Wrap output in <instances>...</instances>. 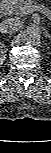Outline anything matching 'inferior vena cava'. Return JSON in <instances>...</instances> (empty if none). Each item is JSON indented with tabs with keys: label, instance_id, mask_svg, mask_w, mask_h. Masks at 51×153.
Wrapping results in <instances>:
<instances>
[{
	"label": "inferior vena cava",
	"instance_id": "602c4592",
	"mask_svg": "<svg viewBox=\"0 0 51 153\" xmlns=\"http://www.w3.org/2000/svg\"><path fill=\"white\" fill-rule=\"evenodd\" d=\"M23 23L18 18H10L1 23L0 31L2 33H12L19 30Z\"/></svg>",
	"mask_w": 51,
	"mask_h": 153
}]
</instances>
